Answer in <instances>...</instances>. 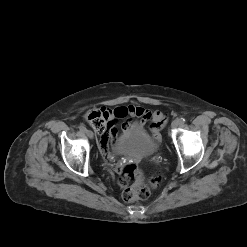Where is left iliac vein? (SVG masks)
Masks as SVG:
<instances>
[{
  "label": "left iliac vein",
  "mask_w": 247,
  "mask_h": 247,
  "mask_svg": "<svg viewBox=\"0 0 247 247\" xmlns=\"http://www.w3.org/2000/svg\"><path fill=\"white\" fill-rule=\"evenodd\" d=\"M179 125H180V123H179L178 120H174V121L171 123V127H172V128H177Z\"/></svg>",
  "instance_id": "4c4485c4"
}]
</instances>
